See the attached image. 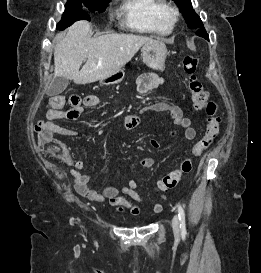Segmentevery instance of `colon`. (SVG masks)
Masks as SVG:
<instances>
[{"label":"colon","instance_id":"5ec220e1","mask_svg":"<svg viewBox=\"0 0 261 273\" xmlns=\"http://www.w3.org/2000/svg\"><path fill=\"white\" fill-rule=\"evenodd\" d=\"M199 59L197 56H187L183 61V70L188 76V88L190 90L192 101L196 109L205 108L208 118L205 126L203 136L192 148V154L200 155L203 151L208 149L214 139L219 134L220 117L217 114V104L210 101L208 93L197 76V69ZM69 105L71 106L66 112V118L74 120L79 117L82 110V99L78 95L70 96ZM66 105V99L62 95H54L49 100V106L57 109H63ZM37 141L42 151L59 156L63 154L62 144L54 138L45 122H39L35 127ZM192 170V160L190 158L184 159L180 165L163 176L157 183V190L159 192H166L176 187L184 174L190 173Z\"/></svg>","mask_w":261,"mask_h":273}]
</instances>
